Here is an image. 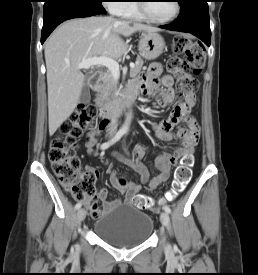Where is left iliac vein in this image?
<instances>
[{
    "label": "left iliac vein",
    "mask_w": 258,
    "mask_h": 275,
    "mask_svg": "<svg viewBox=\"0 0 258 275\" xmlns=\"http://www.w3.org/2000/svg\"><path fill=\"white\" fill-rule=\"evenodd\" d=\"M160 220H161L162 224H163L165 227H168V226H169L170 217H169V214H168L166 211L161 213V215H160Z\"/></svg>",
    "instance_id": "left-iliac-vein-1"
}]
</instances>
